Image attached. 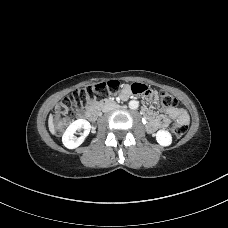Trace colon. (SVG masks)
<instances>
[{
  "instance_id": "1",
  "label": "colon",
  "mask_w": 228,
  "mask_h": 228,
  "mask_svg": "<svg viewBox=\"0 0 228 228\" xmlns=\"http://www.w3.org/2000/svg\"><path fill=\"white\" fill-rule=\"evenodd\" d=\"M121 85L118 80H109L107 82L98 83L91 87H85L78 89L74 93L65 97L55 107L52 121L53 125L58 133H61L66 125L69 123L70 115L74 108L82 107L94 98L101 97L105 91H112L117 89ZM131 90L134 94L142 95L146 98H150L152 91L144 84L134 83L131 85ZM159 104L164 110L174 108L177 105V99L171 94L165 91H159ZM170 131L176 138H181L187 131L186 125L178 121H174L170 124Z\"/></svg>"
}]
</instances>
